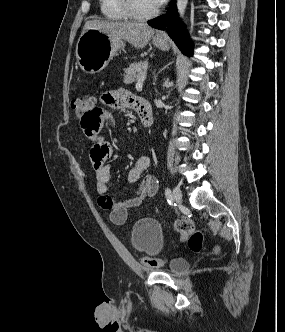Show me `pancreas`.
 <instances>
[{
  "label": "pancreas",
  "mask_w": 285,
  "mask_h": 332,
  "mask_svg": "<svg viewBox=\"0 0 285 332\" xmlns=\"http://www.w3.org/2000/svg\"><path fill=\"white\" fill-rule=\"evenodd\" d=\"M148 69V61L135 62L124 69V83L132 84L135 81L140 80L142 77L146 76Z\"/></svg>",
  "instance_id": "pancreas-1"
}]
</instances>
